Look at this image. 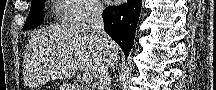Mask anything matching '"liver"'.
<instances>
[{"label": "liver", "instance_id": "obj_1", "mask_svg": "<svg viewBox=\"0 0 216 90\" xmlns=\"http://www.w3.org/2000/svg\"><path fill=\"white\" fill-rule=\"evenodd\" d=\"M112 62H116L119 46L110 40ZM98 38L88 30L85 22H64L38 30L31 38L26 54V62H42V72L48 78H72L77 70L94 76L100 62Z\"/></svg>", "mask_w": 216, "mask_h": 90}]
</instances>
